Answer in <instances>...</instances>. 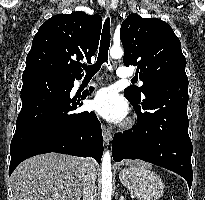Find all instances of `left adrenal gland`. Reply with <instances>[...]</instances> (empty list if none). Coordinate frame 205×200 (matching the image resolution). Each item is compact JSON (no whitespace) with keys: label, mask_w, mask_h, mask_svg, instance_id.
Returning a JSON list of instances; mask_svg holds the SVG:
<instances>
[{"label":"left adrenal gland","mask_w":205,"mask_h":200,"mask_svg":"<svg viewBox=\"0 0 205 200\" xmlns=\"http://www.w3.org/2000/svg\"><path fill=\"white\" fill-rule=\"evenodd\" d=\"M119 200H125V199H124V196H120V199H119Z\"/></svg>","instance_id":"obj_1"}]
</instances>
